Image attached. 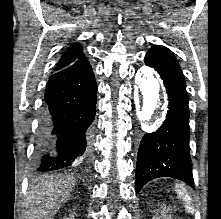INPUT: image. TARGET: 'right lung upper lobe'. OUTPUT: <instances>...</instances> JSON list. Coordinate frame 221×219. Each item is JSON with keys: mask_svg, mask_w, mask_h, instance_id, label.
Instances as JSON below:
<instances>
[{"mask_svg": "<svg viewBox=\"0 0 221 219\" xmlns=\"http://www.w3.org/2000/svg\"><path fill=\"white\" fill-rule=\"evenodd\" d=\"M82 56H84L82 53V47L79 44L71 45L59 60L55 70L59 71L72 65Z\"/></svg>", "mask_w": 221, "mask_h": 219, "instance_id": "1", "label": "right lung upper lobe"}]
</instances>
